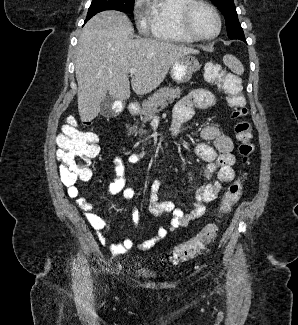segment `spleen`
<instances>
[{
	"label": "spleen",
	"instance_id": "3e777b00",
	"mask_svg": "<svg viewBox=\"0 0 298 325\" xmlns=\"http://www.w3.org/2000/svg\"><path fill=\"white\" fill-rule=\"evenodd\" d=\"M223 62L234 74H243L245 70L241 60L237 56H234V54H224Z\"/></svg>",
	"mask_w": 298,
	"mask_h": 325
}]
</instances>
